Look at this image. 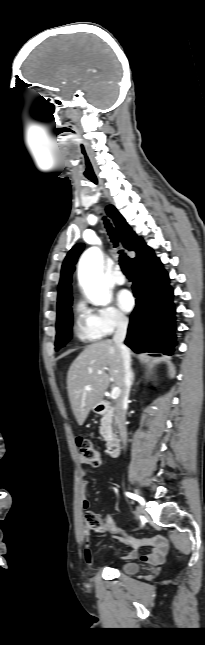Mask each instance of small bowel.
Listing matches in <instances>:
<instances>
[{
    "label": "small bowel",
    "instance_id": "obj_1",
    "mask_svg": "<svg viewBox=\"0 0 205 645\" xmlns=\"http://www.w3.org/2000/svg\"><path fill=\"white\" fill-rule=\"evenodd\" d=\"M81 464H82V470L81 474L82 476H85L87 473V462L81 458L80 459ZM88 485L87 480L82 481V486L85 488ZM82 506L84 509L89 508V502L87 499H83ZM105 523L110 532H112L115 535V538L119 540L121 543L129 547V552L123 557L124 559L127 560H133L139 558V549L141 547H150V551L140 557L141 561L144 563H149V564H160L164 561L169 544L167 539L164 536H154V537H149V538H137L134 536H130L125 533L124 530L119 528L114 520L112 519L111 516H106L105 518ZM85 534H88V531H85ZM85 560L89 565L93 564V556L92 553L89 549H86L85 551Z\"/></svg>",
    "mask_w": 205,
    "mask_h": 645
}]
</instances>
